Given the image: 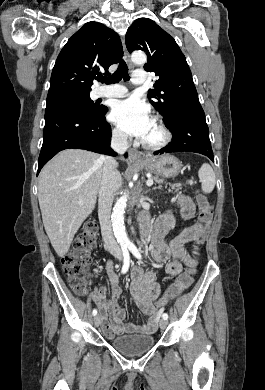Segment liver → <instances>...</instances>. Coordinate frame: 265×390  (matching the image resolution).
<instances>
[{
    "mask_svg": "<svg viewBox=\"0 0 265 390\" xmlns=\"http://www.w3.org/2000/svg\"><path fill=\"white\" fill-rule=\"evenodd\" d=\"M102 174V156L80 149L58 153L42 169L39 206L45 231L59 257L67 254L74 235L94 210Z\"/></svg>",
    "mask_w": 265,
    "mask_h": 390,
    "instance_id": "liver-1",
    "label": "liver"
}]
</instances>
